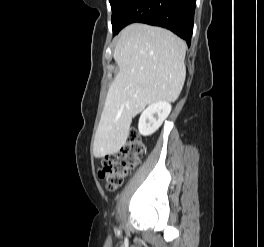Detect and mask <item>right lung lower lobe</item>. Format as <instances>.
Segmentation results:
<instances>
[{
  "mask_svg": "<svg viewBox=\"0 0 264 247\" xmlns=\"http://www.w3.org/2000/svg\"><path fill=\"white\" fill-rule=\"evenodd\" d=\"M196 0H130L117 20L113 34L139 22L167 28L191 43Z\"/></svg>",
  "mask_w": 264,
  "mask_h": 247,
  "instance_id": "right-lung-lower-lobe-1",
  "label": "right lung lower lobe"
}]
</instances>
